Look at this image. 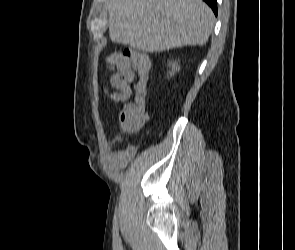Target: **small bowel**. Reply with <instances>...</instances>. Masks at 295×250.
<instances>
[{"instance_id":"c3829d8e","label":"small bowel","mask_w":295,"mask_h":250,"mask_svg":"<svg viewBox=\"0 0 295 250\" xmlns=\"http://www.w3.org/2000/svg\"><path fill=\"white\" fill-rule=\"evenodd\" d=\"M150 68L151 61L148 55L132 52L130 56L117 63V71L111 76L109 81V85L114 91L108 93L106 87V93H108L113 101H126L131 95L129 84L133 82L135 78L147 80Z\"/></svg>"}]
</instances>
